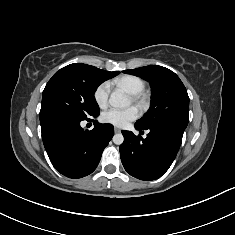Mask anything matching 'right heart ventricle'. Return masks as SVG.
<instances>
[{
	"label": "right heart ventricle",
	"instance_id": "obj_1",
	"mask_svg": "<svg viewBox=\"0 0 235 235\" xmlns=\"http://www.w3.org/2000/svg\"><path fill=\"white\" fill-rule=\"evenodd\" d=\"M114 83L124 87L132 95L141 93L145 88L143 80L133 75H124L115 80Z\"/></svg>",
	"mask_w": 235,
	"mask_h": 235
}]
</instances>
